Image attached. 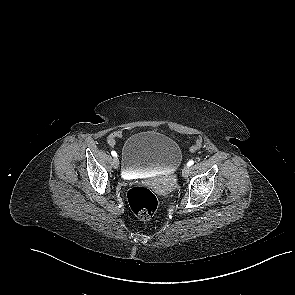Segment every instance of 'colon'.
I'll return each mask as SVG.
<instances>
[{
	"mask_svg": "<svg viewBox=\"0 0 295 295\" xmlns=\"http://www.w3.org/2000/svg\"><path fill=\"white\" fill-rule=\"evenodd\" d=\"M127 201L134 215L140 220L152 218L158 209L157 197L145 187L130 188Z\"/></svg>",
	"mask_w": 295,
	"mask_h": 295,
	"instance_id": "5ec220e1",
	"label": "colon"
}]
</instances>
